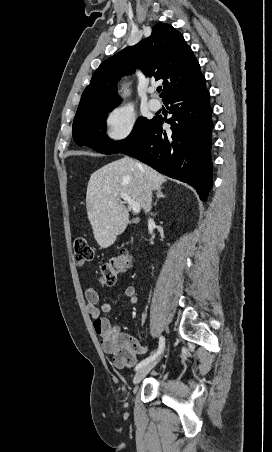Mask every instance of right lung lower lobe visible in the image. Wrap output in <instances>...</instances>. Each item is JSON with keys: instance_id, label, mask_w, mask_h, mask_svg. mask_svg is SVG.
<instances>
[{"instance_id": "1", "label": "right lung lower lobe", "mask_w": 272, "mask_h": 452, "mask_svg": "<svg viewBox=\"0 0 272 452\" xmlns=\"http://www.w3.org/2000/svg\"><path fill=\"white\" fill-rule=\"evenodd\" d=\"M163 102L171 104L169 109L173 115L166 121L171 125V131L163 130L162 117H154L141 137L121 153L188 183L196 189L200 199L206 201L212 187L213 123L204 76Z\"/></svg>"}]
</instances>
